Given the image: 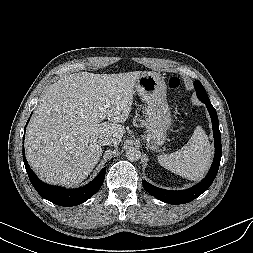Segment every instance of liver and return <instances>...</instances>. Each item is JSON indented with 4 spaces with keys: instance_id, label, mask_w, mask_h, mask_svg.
<instances>
[{
    "instance_id": "6515ba94",
    "label": "liver",
    "mask_w": 253,
    "mask_h": 253,
    "mask_svg": "<svg viewBox=\"0 0 253 253\" xmlns=\"http://www.w3.org/2000/svg\"><path fill=\"white\" fill-rule=\"evenodd\" d=\"M146 72L73 73L42 94L27 127L26 158L47 183L74 186L93 170L102 155L101 141L117 146L125 133L136 81ZM109 120L102 122V112Z\"/></svg>"
}]
</instances>
